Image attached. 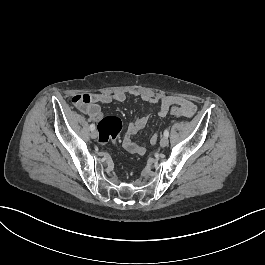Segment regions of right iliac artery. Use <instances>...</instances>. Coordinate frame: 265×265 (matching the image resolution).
Returning a JSON list of instances; mask_svg holds the SVG:
<instances>
[{"instance_id": "1", "label": "right iliac artery", "mask_w": 265, "mask_h": 265, "mask_svg": "<svg viewBox=\"0 0 265 265\" xmlns=\"http://www.w3.org/2000/svg\"><path fill=\"white\" fill-rule=\"evenodd\" d=\"M95 129V125L94 124H91L90 125V130L93 131Z\"/></svg>"}]
</instances>
